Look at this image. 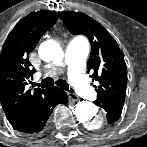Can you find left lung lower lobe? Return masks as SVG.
<instances>
[{
	"instance_id": "obj_1",
	"label": "left lung lower lobe",
	"mask_w": 147,
	"mask_h": 147,
	"mask_svg": "<svg viewBox=\"0 0 147 147\" xmlns=\"http://www.w3.org/2000/svg\"><path fill=\"white\" fill-rule=\"evenodd\" d=\"M125 98L116 97L103 102H94L103 108L107 113L106 126L113 125L121 116Z\"/></svg>"
}]
</instances>
